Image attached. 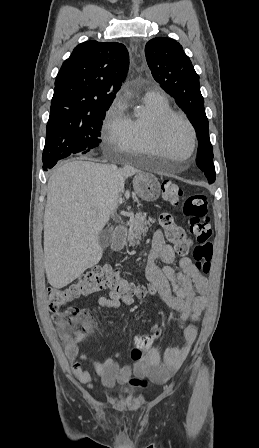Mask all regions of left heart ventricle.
<instances>
[{
  "label": "left heart ventricle",
  "instance_id": "b2bd125f",
  "mask_svg": "<svg viewBox=\"0 0 259 448\" xmlns=\"http://www.w3.org/2000/svg\"><path fill=\"white\" fill-rule=\"evenodd\" d=\"M191 134L188 127L180 120L172 121L164 132L166 149L148 150L147 154L161 157L167 162H187L191 155Z\"/></svg>",
  "mask_w": 259,
  "mask_h": 448
}]
</instances>
